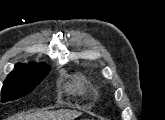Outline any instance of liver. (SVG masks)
<instances>
[{
  "label": "liver",
  "instance_id": "obj_1",
  "mask_svg": "<svg viewBox=\"0 0 165 120\" xmlns=\"http://www.w3.org/2000/svg\"><path fill=\"white\" fill-rule=\"evenodd\" d=\"M80 115L77 111L60 110L56 112H48L45 114H35L27 116H18L12 120H70Z\"/></svg>",
  "mask_w": 165,
  "mask_h": 120
}]
</instances>
